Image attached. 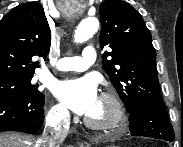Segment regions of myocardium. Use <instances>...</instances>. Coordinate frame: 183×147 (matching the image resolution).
Listing matches in <instances>:
<instances>
[{"instance_id":"1","label":"myocardium","mask_w":183,"mask_h":147,"mask_svg":"<svg viewBox=\"0 0 183 147\" xmlns=\"http://www.w3.org/2000/svg\"><path fill=\"white\" fill-rule=\"evenodd\" d=\"M100 99L106 101L113 112L108 122H98L86 115L84 122L87 127L97 131H109L122 127L127 121L126 108L122 100L113 92H103Z\"/></svg>"}]
</instances>
